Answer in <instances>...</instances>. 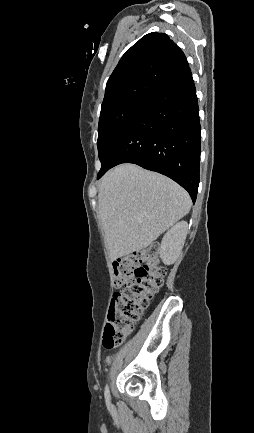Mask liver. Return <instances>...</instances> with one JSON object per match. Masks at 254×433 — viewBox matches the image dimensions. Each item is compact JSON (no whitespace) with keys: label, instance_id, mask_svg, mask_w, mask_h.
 <instances>
[{"label":"liver","instance_id":"6515ba94","mask_svg":"<svg viewBox=\"0 0 254 433\" xmlns=\"http://www.w3.org/2000/svg\"><path fill=\"white\" fill-rule=\"evenodd\" d=\"M98 203L112 260L146 248L191 208L182 187L134 164L119 165L103 177Z\"/></svg>","mask_w":254,"mask_h":433}]
</instances>
